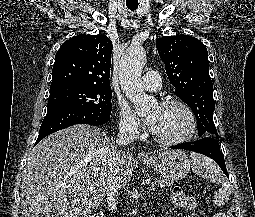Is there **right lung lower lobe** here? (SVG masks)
<instances>
[{"instance_id":"1","label":"right lung lower lobe","mask_w":255,"mask_h":217,"mask_svg":"<svg viewBox=\"0 0 255 217\" xmlns=\"http://www.w3.org/2000/svg\"><path fill=\"white\" fill-rule=\"evenodd\" d=\"M110 116H102L75 106L57 104L49 106L40 127L35 145L44 137L74 124L102 125Z\"/></svg>"}]
</instances>
